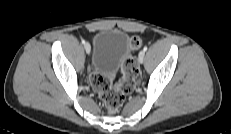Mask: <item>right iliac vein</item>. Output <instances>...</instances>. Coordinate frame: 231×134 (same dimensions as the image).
<instances>
[{
	"mask_svg": "<svg viewBox=\"0 0 231 134\" xmlns=\"http://www.w3.org/2000/svg\"><path fill=\"white\" fill-rule=\"evenodd\" d=\"M84 48H85L86 53L89 54L90 51H91V46H90V44H89V43H85V44H84Z\"/></svg>",
	"mask_w": 231,
	"mask_h": 134,
	"instance_id": "obj_1",
	"label": "right iliac vein"
}]
</instances>
